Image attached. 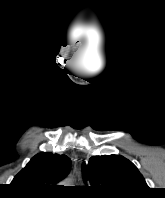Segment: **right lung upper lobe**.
<instances>
[{"mask_svg": "<svg viewBox=\"0 0 165 198\" xmlns=\"http://www.w3.org/2000/svg\"><path fill=\"white\" fill-rule=\"evenodd\" d=\"M71 160L66 155L48 152L34 156L13 179L11 185L31 196H47L56 183L67 176Z\"/></svg>", "mask_w": 165, "mask_h": 198, "instance_id": "1", "label": "right lung upper lobe"}]
</instances>
